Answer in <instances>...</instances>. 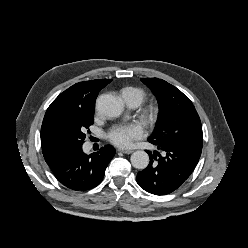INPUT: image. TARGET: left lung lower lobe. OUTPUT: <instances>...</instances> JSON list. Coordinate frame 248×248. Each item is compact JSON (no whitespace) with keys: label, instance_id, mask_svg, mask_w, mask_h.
Listing matches in <instances>:
<instances>
[{"label":"left lung lower lobe","instance_id":"left-lung-lower-lobe-1","mask_svg":"<svg viewBox=\"0 0 248 248\" xmlns=\"http://www.w3.org/2000/svg\"><path fill=\"white\" fill-rule=\"evenodd\" d=\"M156 146L163 155L157 151L153 154L147 151L150 163L143 171L138 172L137 183L149 193L166 195L179 188L191 175L199 161L202 149L176 144ZM157 156H159L158 159Z\"/></svg>","mask_w":248,"mask_h":248}]
</instances>
